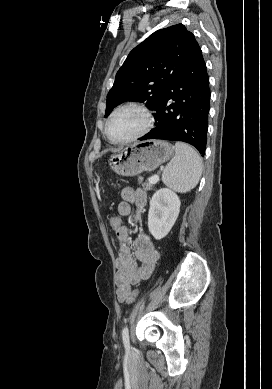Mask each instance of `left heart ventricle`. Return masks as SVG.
Wrapping results in <instances>:
<instances>
[{"instance_id":"obj_1","label":"left heart ventricle","mask_w":272,"mask_h":389,"mask_svg":"<svg viewBox=\"0 0 272 389\" xmlns=\"http://www.w3.org/2000/svg\"><path fill=\"white\" fill-rule=\"evenodd\" d=\"M144 116L136 109H124L118 112L110 122L109 134L114 140L128 138L144 125Z\"/></svg>"}]
</instances>
